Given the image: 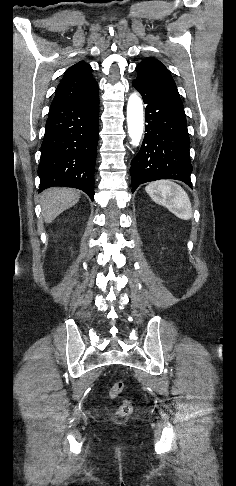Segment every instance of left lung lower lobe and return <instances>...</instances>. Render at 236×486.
Masks as SVG:
<instances>
[{
    "instance_id": "1",
    "label": "left lung lower lobe",
    "mask_w": 236,
    "mask_h": 486,
    "mask_svg": "<svg viewBox=\"0 0 236 486\" xmlns=\"http://www.w3.org/2000/svg\"><path fill=\"white\" fill-rule=\"evenodd\" d=\"M132 85L147 104V133L131 162L132 193L140 184L159 179L180 180L192 187L190 139L183 105L142 80L135 79Z\"/></svg>"
}]
</instances>
